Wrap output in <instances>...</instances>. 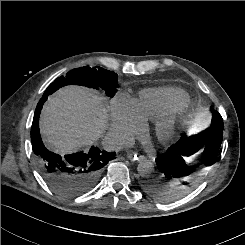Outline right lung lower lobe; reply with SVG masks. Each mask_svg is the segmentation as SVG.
<instances>
[{
  "label": "right lung lower lobe",
  "mask_w": 245,
  "mask_h": 245,
  "mask_svg": "<svg viewBox=\"0 0 245 245\" xmlns=\"http://www.w3.org/2000/svg\"><path fill=\"white\" fill-rule=\"evenodd\" d=\"M48 95L37 104L31 127L32 149L38 170L46 183L64 197H76L90 190L98 181L103 167L115 158V152L92 146L89 152L60 156L44 146L39 131V116Z\"/></svg>",
  "instance_id": "right-lung-lower-lobe-1"
}]
</instances>
